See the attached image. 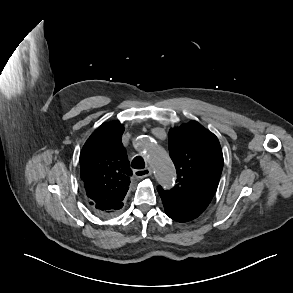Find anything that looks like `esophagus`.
I'll use <instances>...</instances> for the list:
<instances>
[{
	"instance_id": "esophagus-1",
	"label": "esophagus",
	"mask_w": 293,
	"mask_h": 293,
	"mask_svg": "<svg viewBox=\"0 0 293 293\" xmlns=\"http://www.w3.org/2000/svg\"><path fill=\"white\" fill-rule=\"evenodd\" d=\"M134 175L137 178H145L151 175V170L149 168L138 169L134 171Z\"/></svg>"
}]
</instances>
